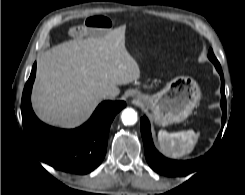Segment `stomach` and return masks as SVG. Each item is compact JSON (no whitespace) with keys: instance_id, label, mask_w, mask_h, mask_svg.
<instances>
[{"instance_id":"obj_1","label":"stomach","mask_w":245,"mask_h":195,"mask_svg":"<svg viewBox=\"0 0 245 195\" xmlns=\"http://www.w3.org/2000/svg\"><path fill=\"white\" fill-rule=\"evenodd\" d=\"M137 99L152 111L156 124L167 126L191 114L201 99V90L192 77L178 76L153 95L138 92Z\"/></svg>"}]
</instances>
